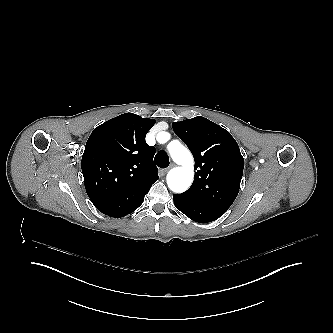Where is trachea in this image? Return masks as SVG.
<instances>
[{
  "instance_id": "1",
  "label": "trachea",
  "mask_w": 333,
  "mask_h": 333,
  "mask_svg": "<svg viewBox=\"0 0 333 333\" xmlns=\"http://www.w3.org/2000/svg\"><path fill=\"white\" fill-rule=\"evenodd\" d=\"M154 161L156 165L161 168H166L169 165V157L163 151H160L156 154Z\"/></svg>"
}]
</instances>
